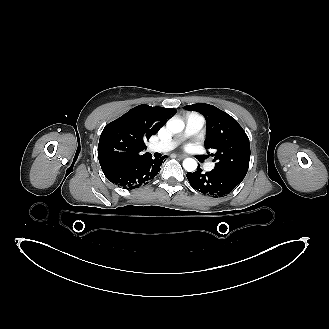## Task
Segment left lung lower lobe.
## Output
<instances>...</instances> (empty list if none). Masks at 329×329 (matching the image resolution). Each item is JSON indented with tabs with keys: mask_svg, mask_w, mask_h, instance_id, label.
I'll use <instances>...</instances> for the list:
<instances>
[{
	"mask_svg": "<svg viewBox=\"0 0 329 329\" xmlns=\"http://www.w3.org/2000/svg\"><path fill=\"white\" fill-rule=\"evenodd\" d=\"M186 176L195 190L216 198L226 196L242 182L214 169L210 172L202 173V169L198 168L193 173L188 172Z\"/></svg>",
	"mask_w": 329,
	"mask_h": 329,
	"instance_id": "obj_1",
	"label": "left lung lower lobe"
}]
</instances>
